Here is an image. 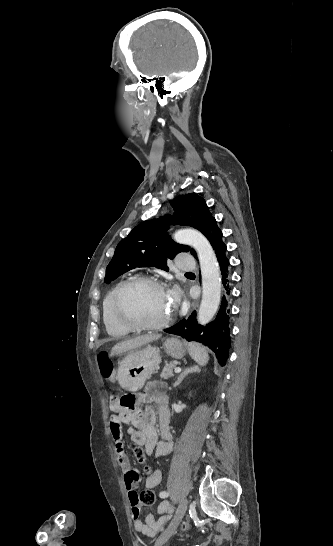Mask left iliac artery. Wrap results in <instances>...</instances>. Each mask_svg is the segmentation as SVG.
<instances>
[{"instance_id":"obj_1","label":"left iliac artery","mask_w":333,"mask_h":546,"mask_svg":"<svg viewBox=\"0 0 333 546\" xmlns=\"http://www.w3.org/2000/svg\"><path fill=\"white\" fill-rule=\"evenodd\" d=\"M168 495H169V493H167V492H164V493L162 494L163 497H167Z\"/></svg>"}]
</instances>
